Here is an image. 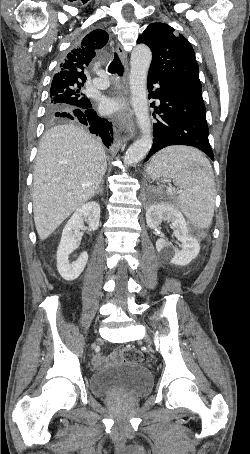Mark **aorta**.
<instances>
[{
  "label": "aorta",
  "mask_w": 250,
  "mask_h": 454,
  "mask_svg": "<svg viewBox=\"0 0 250 454\" xmlns=\"http://www.w3.org/2000/svg\"><path fill=\"white\" fill-rule=\"evenodd\" d=\"M152 61L149 47L137 45L131 53L129 86L131 105L141 136L126 151L124 163L133 165L141 161L150 151L153 144L152 125L147 101V75Z\"/></svg>",
  "instance_id": "1"
}]
</instances>
